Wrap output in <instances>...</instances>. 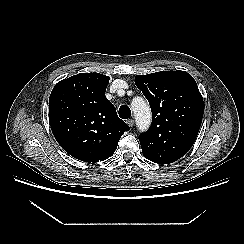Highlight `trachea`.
<instances>
[{
  "label": "trachea",
  "mask_w": 244,
  "mask_h": 244,
  "mask_svg": "<svg viewBox=\"0 0 244 244\" xmlns=\"http://www.w3.org/2000/svg\"><path fill=\"white\" fill-rule=\"evenodd\" d=\"M119 116L122 119H128L131 116V110L127 105H122L119 108Z\"/></svg>",
  "instance_id": "obj_1"
}]
</instances>
